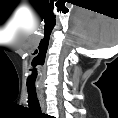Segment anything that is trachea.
Listing matches in <instances>:
<instances>
[{
	"mask_svg": "<svg viewBox=\"0 0 118 118\" xmlns=\"http://www.w3.org/2000/svg\"><path fill=\"white\" fill-rule=\"evenodd\" d=\"M28 105L33 110L41 111L39 100L37 98L36 90L34 88H28Z\"/></svg>",
	"mask_w": 118,
	"mask_h": 118,
	"instance_id": "obj_1",
	"label": "trachea"
}]
</instances>
